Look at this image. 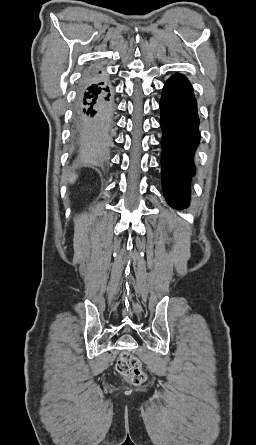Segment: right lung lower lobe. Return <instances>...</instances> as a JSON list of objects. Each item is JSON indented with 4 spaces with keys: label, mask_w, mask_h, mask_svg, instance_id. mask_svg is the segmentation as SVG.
<instances>
[{
    "label": "right lung lower lobe",
    "mask_w": 256,
    "mask_h": 445,
    "mask_svg": "<svg viewBox=\"0 0 256 445\" xmlns=\"http://www.w3.org/2000/svg\"><path fill=\"white\" fill-rule=\"evenodd\" d=\"M112 115L113 98L106 80L85 83L80 89L76 109V133L82 142V158L106 160Z\"/></svg>",
    "instance_id": "98d812e1"
}]
</instances>
